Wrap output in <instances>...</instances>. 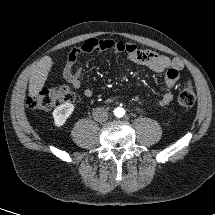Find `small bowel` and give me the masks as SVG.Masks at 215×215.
<instances>
[{
	"label": "small bowel",
	"mask_w": 215,
	"mask_h": 215,
	"mask_svg": "<svg viewBox=\"0 0 215 215\" xmlns=\"http://www.w3.org/2000/svg\"><path fill=\"white\" fill-rule=\"evenodd\" d=\"M105 50H112L118 53L124 52L131 62L147 66L156 73H165L164 84L166 90L158 100L157 105L160 108H164L173 100V89L178 82L179 72L184 67L183 63L177 58H170L151 50H142L135 44L122 40H99L92 38L82 45L73 48L63 69L64 80L75 89H81V65L78 63L79 59L87 54L100 53ZM83 94L85 97L90 98L93 96V91L86 88L83 90Z\"/></svg>",
	"instance_id": "obj_1"
}]
</instances>
